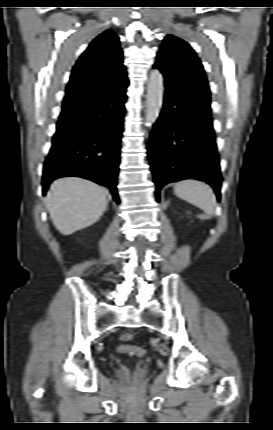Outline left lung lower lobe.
Segmentation results:
<instances>
[{
  "instance_id": "left-lung-lower-lobe-1",
  "label": "left lung lower lobe",
  "mask_w": 273,
  "mask_h": 430,
  "mask_svg": "<svg viewBox=\"0 0 273 430\" xmlns=\"http://www.w3.org/2000/svg\"><path fill=\"white\" fill-rule=\"evenodd\" d=\"M148 156L157 201L164 185L189 178L210 184L220 199L222 177L212 118L176 97L167 83L162 112L150 135Z\"/></svg>"
}]
</instances>
